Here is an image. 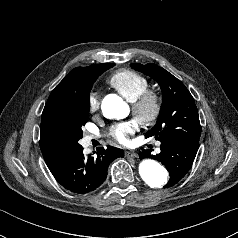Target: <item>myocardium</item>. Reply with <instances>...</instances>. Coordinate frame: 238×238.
Returning a JSON list of instances; mask_svg holds the SVG:
<instances>
[{
  "label": "myocardium",
  "mask_w": 238,
  "mask_h": 238,
  "mask_svg": "<svg viewBox=\"0 0 238 238\" xmlns=\"http://www.w3.org/2000/svg\"><path fill=\"white\" fill-rule=\"evenodd\" d=\"M161 96L157 91L147 89L131 101L133 116L141 126L152 125L160 115Z\"/></svg>",
  "instance_id": "obj_1"
}]
</instances>
